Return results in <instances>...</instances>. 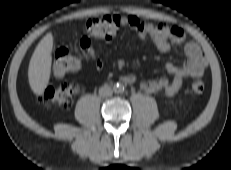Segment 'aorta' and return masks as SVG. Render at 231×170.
I'll return each mask as SVG.
<instances>
[{
  "mask_svg": "<svg viewBox=\"0 0 231 170\" xmlns=\"http://www.w3.org/2000/svg\"><path fill=\"white\" fill-rule=\"evenodd\" d=\"M113 89H114L115 93H123L124 92V86L121 84L115 85Z\"/></svg>",
  "mask_w": 231,
  "mask_h": 170,
  "instance_id": "aorta-1",
  "label": "aorta"
}]
</instances>
